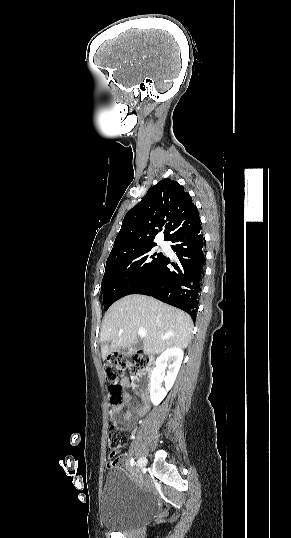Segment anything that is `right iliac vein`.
I'll use <instances>...</instances> for the list:
<instances>
[{
    "mask_svg": "<svg viewBox=\"0 0 291 538\" xmlns=\"http://www.w3.org/2000/svg\"><path fill=\"white\" fill-rule=\"evenodd\" d=\"M146 464H147V459H146V457H144V456L140 457V458L138 459V461H137V467H138V469H142V468H144V467L146 466Z\"/></svg>",
    "mask_w": 291,
    "mask_h": 538,
    "instance_id": "obj_1",
    "label": "right iliac vein"
}]
</instances>
